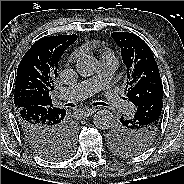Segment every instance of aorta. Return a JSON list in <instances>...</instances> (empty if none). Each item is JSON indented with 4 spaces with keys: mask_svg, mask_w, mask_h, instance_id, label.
Segmentation results:
<instances>
[{
    "mask_svg": "<svg viewBox=\"0 0 184 184\" xmlns=\"http://www.w3.org/2000/svg\"><path fill=\"white\" fill-rule=\"evenodd\" d=\"M97 69L98 61L94 56H81L76 62V70L82 77L92 76L94 73H96ZM93 122L98 129L106 130L113 125L114 116L109 110L102 109L94 114Z\"/></svg>",
    "mask_w": 184,
    "mask_h": 184,
    "instance_id": "1",
    "label": "aorta"
}]
</instances>
